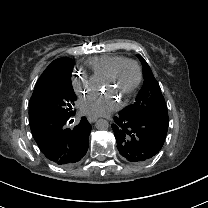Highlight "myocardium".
Returning a JSON list of instances; mask_svg holds the SVG:
<instances>
[{
	"mask_svg": "<svg viewBox=\"0 0 208 208\" xmlns=\"http://www.w3.org/2000/svg\"><path fill=\"white\" fill-rule=\"evenodd\" d=\"M125 63H129V64L133 65L135 68L136 74H135L134 83L131 86V88L129 89L128 93L123 97V101L121 102V105H123L125 101L130 99L135 94V92L137 91V89L139 88V86L142 82V68H141L140 64L132 58H122L121 60H119L115 64V66L112 68V70L104 78H102L99 81L100 86H105V85L111 84L114 81V78L116 76L118 69L120 68L121 65H123Z\"/></svg>",
	"mask_w": 208,
	"mask_h": 208,
	"instance_id": "myocardium-1",
	"label": "myocardium"
}]
</instances>
